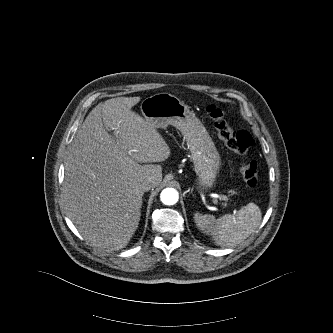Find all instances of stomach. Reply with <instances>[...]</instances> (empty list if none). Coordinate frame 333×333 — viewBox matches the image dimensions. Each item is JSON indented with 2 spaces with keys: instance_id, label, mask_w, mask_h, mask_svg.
<instances>
[{
  "instance_id": "0dacf381",
  "label": "stomach",
  "mask_w": 333,
  "mask_h": 333,
  "mask_svg": "<svg viewBox=\"0 0 333 333\" xmlns=\"http://www.w3.org/2000/svg\"><path fill=\"white\" fill-rule=\"evenodd\" d=\"M140 110L156 127L172 125L182 133L198 176V187L201 190L213 188L221 166L220 155L204 126L184 101L167 92L156 93L142 100Z\"/></svg>"
}]
</instances>
